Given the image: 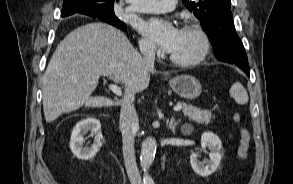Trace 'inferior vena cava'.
Segmentation results:
<instances>
[{"label":"inferior vena cava","mask_w":293,"mask_h":184,"mask_svg":"<svg viewBox=\"0 0 293 184\" xmlns=\"http://www.w3.org/2000/svg\"><path fill=\"white\" fill-rule=\"evenodd\" d=\"M139 47L145 63L149 66H154V47L148 43H142ZM120 129L122 132L124 163L130 183L142 184L134 151V137L138 129V117L134 107V94H127L121 102Z\"/></svg>","instance_id":"1"}]
</instances>
